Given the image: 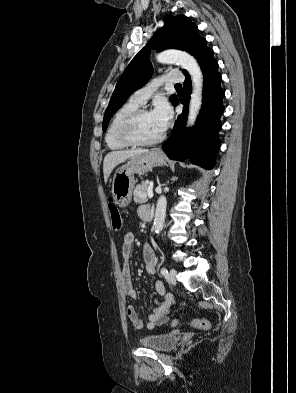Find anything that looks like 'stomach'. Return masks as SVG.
<instances>
[{
  "mask_svg": "<svg viewBox=\"0 0 296 393\" xmlns=\"http://www.w3.org/2000/svg\"><path fill=\"white\" fill-rule=\"evenodd\" d=\"M166 164V157L158 151H150L130 158V160L119 167L112 180V195L119 207H126L132 199L135 187V174H145L154 167Z\"/></svg>",
  "mask_w": 296,
  "mask_h": 393,
  "instance_id": "0dacf381",
  "label": "stomach"
}]
</instances>
